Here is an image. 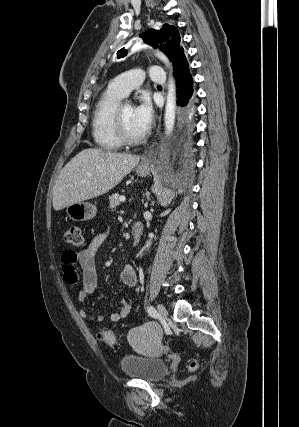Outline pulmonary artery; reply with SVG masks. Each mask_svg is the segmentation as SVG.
Here are the masks:
<instances>
[{
  "label": "pulmonary artery",
  "instance_id": "1",
  "mask_svg": "<svg viewBox=\"0 0 299 427\" xmlns=\"http://www.w3.org/2000/svg\"><path fill=\"white\" fill-rule=\"evenodd\" d=\"M149 77L155 82L164 83L165 71L161 66H153L149 70ZM144 78L145 72L143 70H129L114 78L111 82V87L125 97L133 89L139 87L143 83Z\"/></svg>",
  "mask_w": 299,
  "mask_h": 427
}]
</instances>
